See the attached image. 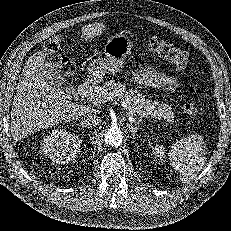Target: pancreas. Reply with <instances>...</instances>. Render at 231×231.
Returning a JSON list of instances; mask_svg holds the SVG:
<instances>
[{"label":"pancreas","mask_w":231,"mask_h":231,"mask_svg":"<svg viewBox=\"0 0 231 231\" xmlns=\"http://www.w3.org/2000/svg\"><path fill=\"white\" fill-rule=\"evenodd\" d=\"M90 96L93 99L101 97L103 103L124 100L128 105L129 113L133 116H142L144 113L146 116L164 119L169 123L174 121L175 116L170 105L147 99L136 89L127 90L126 84L120 81H106L102 86L96 87Z\"/></svg>","instance_id":"obj_1"}]
</instances>
